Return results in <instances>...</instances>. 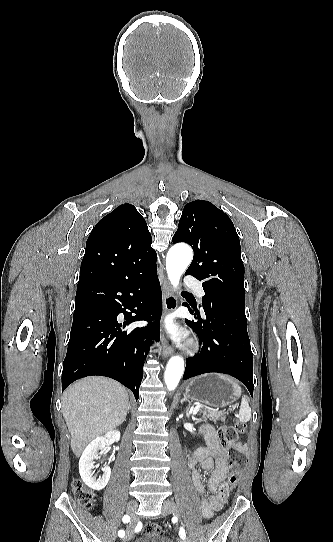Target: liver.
I'll list each match as a JSON object with an SVG mask.
<instances>
[{
	"label": "liver",
	"instance_id": "6515ba94",
	"mask_svg": "<svg viewBox=\"0 0 333 542\" xmlns=\"http://www.w3.org/2000/svg\"><path fill=\"white\" fill-rule=\"evenodd\" d=\"M129 410L126 388L102 376L75 382L63 394L62 414L77 458L87 444L123 424Z\"/></svg>",
	"mask_w": 333,
	"mask_h": 542
}]
</instances>
